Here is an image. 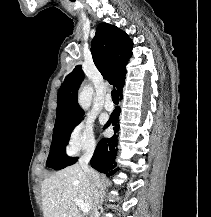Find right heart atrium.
<instances>
[{"label": "right heart atrium", "instance_id": "d8ad5b80", "mask_svg": "<svg viewBox=\"0 0 211 217\" xmlns=\"http://www.w3.org/2000/svg\"><path fill=\"white\" fill-rule=\"evenodd\" d=\"M96 141L94 136V127L91 121L81 120L71 130L66 150L70 155L76 154L79 151H90L95 148Z\"/></svg>", "mask_w": 211, "mask_h": 217}]
</instances>
